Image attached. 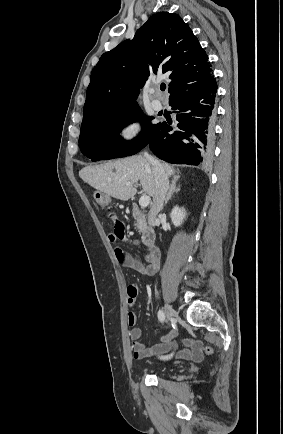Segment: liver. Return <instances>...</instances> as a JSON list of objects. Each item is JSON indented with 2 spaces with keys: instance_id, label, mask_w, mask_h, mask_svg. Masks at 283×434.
<instances>
[{
  "instance_id": "liver-1",
  "label": "liver",
  "mask_w": 283,
  "mask_h": 434,
  "mask_svg": "<svg viewBox=\"0 0 283 434\" xmlns=\"http://www.w3.org/2000/svg\"><path fill=\"white\" fill-rule=\"evenodd\" d=\"M161 165L167 177L175 174V169L169 164ZM79 176L96 190L122 201L135 196L137 193L135 184L138 181L145 194L152 197L155 194L153 169L150 162L142 155L86 166L79 171Z\"/></svg>"
}]
</instances>
